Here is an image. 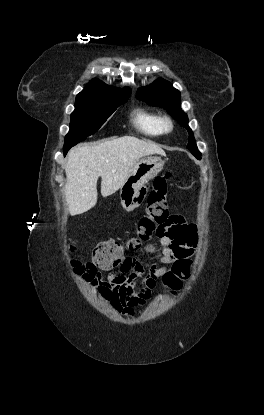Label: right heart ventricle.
<instances>
[{
  "label": "right heart ventricle",
  "mask_w": 264,
  "mask_h": 415,
  "mask_svg": "<svg viewBox=\"0 0 264 415\" xmlns=\"http://www.w3.org/2000/svg\"><path fill=\"white\" fill-rule=\"evenodd\" d=\"M160 119L158 113L144 108L135 109L131 116L134 128L146 137H157L163 133Z\"/></svg>",
  "instance_id": "1"
}]
</instances>
